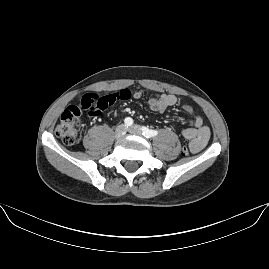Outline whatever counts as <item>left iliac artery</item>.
<instances>
[{"label":"left iliac artery","mask_w":269,"mask_h":269,"mask_svg":"<svg viewBox=\"0 0 269 269\" xmlns=\"http://www.w3.org/2000/svg\"><path fill=\"white\" fill-rule=\"evenodd\" d=\"M142 134L146 137V138H152L154 136H157L158 131L156 130H150L146 127H142Z\"/></svg>","instance_id":"44dca946"}]
</instances>
